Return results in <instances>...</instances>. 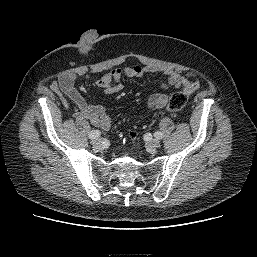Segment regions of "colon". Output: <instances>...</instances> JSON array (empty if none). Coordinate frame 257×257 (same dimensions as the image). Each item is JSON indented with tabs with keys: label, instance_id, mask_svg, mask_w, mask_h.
<instances>
[{
	"label": "colon",
	"instance_id": "1",
	"mask_svg": "<svg viewBox=\"0 0 257 257\" xmlns=\"http://www.w3.org/2000/svg\"><path fill=\"white\" fill-rule=\"evenodd\" d=\"M188 101V94L185 92L174 93L168 100L166 110L167 111H179L186 105ZM130 140H135V135L130 133Z\"/></svg>",
	"mask_w": 257,
	"mask_h": 257
}]
</instances>
